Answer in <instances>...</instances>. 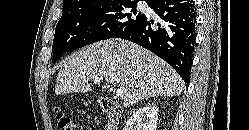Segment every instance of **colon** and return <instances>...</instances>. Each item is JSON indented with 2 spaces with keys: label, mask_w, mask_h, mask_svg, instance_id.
<instances>
[{
  "label": "colon",
  "mask_w": 249,
  "mask_h": 130,
  "mask_svg": "<svg viewBox=\"0 0 249 130\" xmlns=\"http://www.w3.org/2000/svg\"><path fill=\"white\" fill-rule=\"evenodd\" d=\"M56 119L59 130H81L80 125L74 119L61 112H58Z\"/></svg>",
  "instance_id": "obj_1"
}]
</instances>
